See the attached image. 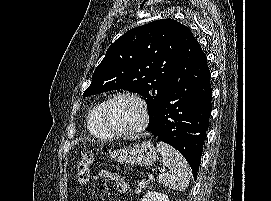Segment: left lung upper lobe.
Listing matches in <instances>:
<instances>
[{"label":"left lung upper lobe","mask_w":271,"mask_h":201,"mask_svg":"<svg viewBox=\"0 0 271 201\" xmlns=\"http://www.w3.org/2000/svg\"><path fill=\"white\" fill-rule=\"evenodd\" d=\"M184 28L174 19H161L129 30L108 48L83 95L114 89L139 93L146 98L149 126L155 125Z\"/></svg>","instance_id":"5c2ea615"}]
</instances>
